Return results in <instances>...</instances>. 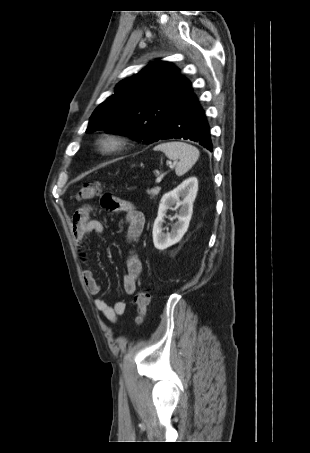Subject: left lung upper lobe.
Segmentation results:
<instances>
[{
	"label": "left lung upper lobe",
	"instance_id": "left-lung-upper-lobe-1",
	"mask_svg": "<svg viewBox=\"0 0 310 453\" xmlns=\"http://www.w3.org/2000/svg\"><path fill=\"white\" fill-rule=\"evenodd\" d=\"M187 84L174 65L151 63L118 83L115 93L92 114L86 132L104 127L106 132L127 135L146 144L157 142Z\"/></svg>",
	"mask_w": 310,
	"mask_h": 453
}]
</instances>
